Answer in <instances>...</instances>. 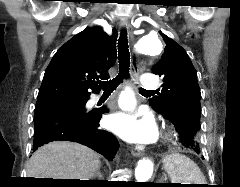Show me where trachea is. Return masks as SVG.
<instances>
[{"instance_id":"1","label":"trachea","mask_w":240,"mask_h":187,"mask_svg":"<svg viewBox=\"0 0 240 187\" xmlns=\"http://www.w3.org/2000/svg\"><path fill=\"white\" fill-rule=\"evenodd\" d=\"M128 48L129 46H128L127 34L125 30H122L120 37L118 39L119 73L112 80L99 82V84L103 88L104 93L113 92L124 78L129 77L130 53ZM139 90L140 92H143V93L152 92V91L145 90L143 88H140Z\"/></svg>"}]
</instances>
